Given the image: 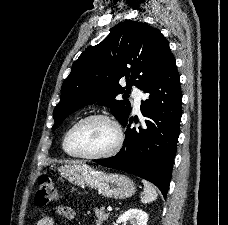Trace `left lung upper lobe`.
<instances>
[{
    "label": "left lung upper lobe",
    "mask_w": 228,
    "mask_h": 225,
    "mask_svg": "<svg viewBox=\"0 0 228 225\" xmlns=\"http://www.w3.org/2000/svg\"><path fill=\"white\" fill-rule=\"evenodd\" d=\"M171 56L159 29L133 20L114 26L101 43L86 49L74 62L62 85L61 101L53 112V129L72 112L95 102L109 107L116 119L124 123L131 111L130 102L115 97L128 94L132 85L142 90ZM124 76L126 90L119 85Z\"/></svg>",
    "instance_id": "5c2ea615"
}]
</instances>
